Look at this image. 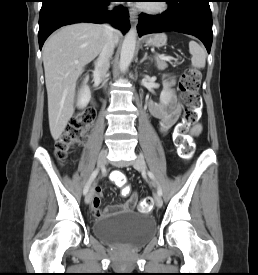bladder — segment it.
<instances>
[{
    "label": "bladder",
    "instance_id": "bladder-1",
    "mask_svg": "<svg viewBox=\"0 0 258 275\" xmlns=\"http://www.w3.org/2000/svg\"><path fill=\"white\" fill-rule=\"evenodd\" d=\"M92 229L97 238L140 246L155 236L156 221L151 216L127 211L96 219Z\"/></svg>",
    "mask_w": 258,
    "mask_h": 275
}]
</instances>
